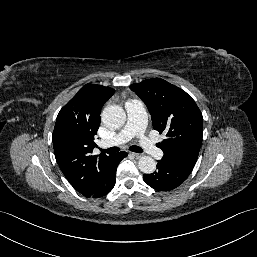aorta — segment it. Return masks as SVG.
I'll return each instance as SVG.
<instances>
[{
    "label": "aorta",
    "instance_id": "762f6f07",
    "mask_svg": "<svg viewBox=\"0 0 257 257\" xmlns=\"http://www.w3.org/2000/svg\"><path fill=\"white\" fill-rule=\"evenodd\" d=\"M105 126L113 129L120 128L126 121V113L118 105L107 106L101 114ZM138 168L145 174H151L156 169V162L150 156H142L138 160Z\"/></svg>",
    "mask_w": 257,
    "mask_h": 257
}]
</instances>
